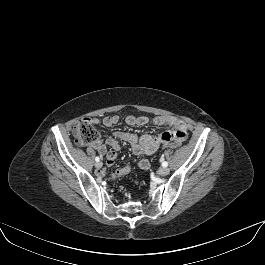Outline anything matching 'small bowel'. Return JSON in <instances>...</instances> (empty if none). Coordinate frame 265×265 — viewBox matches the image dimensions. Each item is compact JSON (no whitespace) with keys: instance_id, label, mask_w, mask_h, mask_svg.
<instances>
[{"instance_id":"1","label":"small bowel","mask_w":265,"mask_h":265,"mask_svg":"<svg viewBox=\"0 0 265 265\" xmlns=\"http://www.w3.org/2000/svg\"><path fill=\"white\" fill-rule=\"evenodd\" d=\"M119 116H107L102 119L92 118L90 122L94 125L102 124L105 127H111L119 123ZM125 122L130 126H144L149 122V118L146 116H133L126 117ZM153 123L156 125L167 126L169 129L163 131L157 136L142 135L138 137L136 134L115 131L113 137H110L106 142L97 141L93 144V147L106 158L107 166H112L115 162L117 151L120 149L119 141H125L130 144L132 151L136 155H152L160 146H162L166 140L175 139L180 143L186 140L188 136L186 124L171 116H158L153 119ZM107 146L111 148L107 151ZM138 167L147 170L150 167L149 161L142 159L138 162Z\"/></svg>"}]
</instances>
